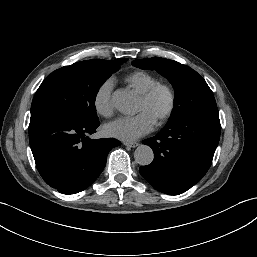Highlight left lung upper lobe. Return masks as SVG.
Returning a JSON list of instances; mask_svg holds the SVG:
<instances>
[{"label": "left lung upper lobe", "mask_w": 257, "mask_h": 257, "mask_svg": "<svg viewBox=\"0 0 257 257\" xmlns=\"http://www.w3.org/2000/svg\"><path fill=\"white\" fill-rule=\"evenodd\" d=\"M132 65L141 69L156 70L174 87V108L167 124L181 120L204 108L216 106L213 92L206 81L186 65L159 57L134 60Z\"/></svg>", "instance_id": "obj_1"}]
</instances>
